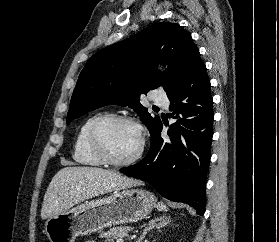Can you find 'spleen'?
<instances>
[{"mask_svg": "<svg viewBox=\"0 0 279 242\" xmlns=\"http://www.w3.org/2000/svg\"><path fill=\"white\" fill-rule=\"evenodd\" d=\"M158 209H159V210H165V211H167V207H166V205H164L163 203H161V204L158 205Z\"/></svg>", "mask_w": 279, "mask_h": 242, "instance_id": "3e777b00", "label": "spleen"}]
</instances>
